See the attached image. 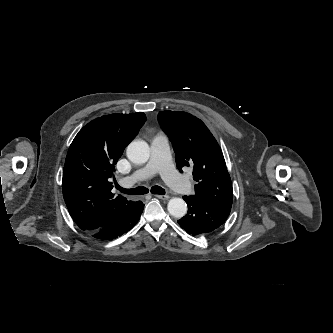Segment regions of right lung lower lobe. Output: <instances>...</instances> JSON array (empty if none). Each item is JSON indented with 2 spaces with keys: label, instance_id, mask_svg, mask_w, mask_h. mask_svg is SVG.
I'll use <instances>...</instances> for the list:
<instances>
[{
  "label": "right lung lower lobe",
  "instance_id": "obj_1",
  "mask_svg": "<svg viewBox=\"0 0 333 333\" xmlns=\"http://www.w3.org/2000/svg\"><path fill=\"white\" fill-rule=\"evenodd\" d=\"M132 205L131 209L121 213L104 226L86 232L100 240H112L121 236L133 228L143 212L144 204L141 201L132 202Z\"/></svg>",
  "mask_w": 333,
  "mask_h": 333
}]
</instances>
